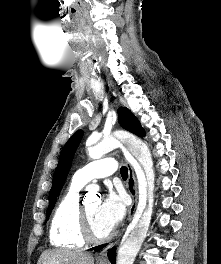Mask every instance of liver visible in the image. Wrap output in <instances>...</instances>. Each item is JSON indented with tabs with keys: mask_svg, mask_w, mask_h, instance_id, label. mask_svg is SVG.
Returning a JSON list of instances; mask_svg holds the SVG:
<instances>
[{
	"mask_svg": "<svg viewBox=\"0 0 221 264\" xmlns=\"http://www.w3.org/2000/svg\"><path fill=\"white\" fill-rule=\"evenodd\" d=\"M37 264H94V257L83 251L46 250L41 254Z\"/></svg>",
	"mask_w": 221,
	"mask_h": 264,
	"instance_id": "obj_1",
	"label": "liver"
}]
</instances>
